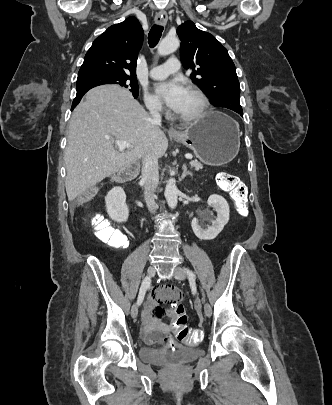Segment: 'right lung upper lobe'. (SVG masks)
I'll return each mask as SVG.
<instances>
[{"mask_svg": "<svg viewBox=\"0 0 332 405\" xmlns=\"http://www.w3.org/2000/svg\"><path fill=\"white\" fill-rule=\"evenodd\" d=\"M144 32L135 17L110 26L97 37L85 55L79 74L108 71L136 76L138 52Z\"/></svg>", "mask_w": 332, "mask_h": 405, "instance_id": "right-lung-upper-lobe-1", "label": "right lung upper lobe"}]
</instances>
